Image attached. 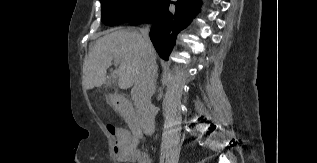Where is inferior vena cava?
Wrapping results in <instances>:
<instances>
[{
	"label": "inferior vena cava",
	"instance_id": "obj_1",
	"mask_svg": "<svg viewBox=\"0 0 317 163\" xmlns=\"http://www.w3.org/2000/svg\"><path fill=\"white\" fill-rule=\"evenodd\" d=\"M149 31V25L140 30L142 64L132 89L139 125L146 135H152L155 131V111L151 104V97L155 90L157 74L155 51L149 38Z\"/></svg>",
	"mask_w": 317,
	"mask_h": 163
}]
</instances>
